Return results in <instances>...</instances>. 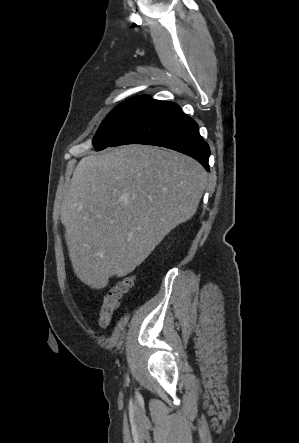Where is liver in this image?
<instances>
[{
    "mask_svg": "<svg viewBox=\"0 0 299 443\" xmlns=\"http://www.w3.org/2000/svg\"><path fill=\"white\" fill-rule=\"evenodd\" d=\"M206 183L204 167L173 150L127 145L82 158L61 205L77 278L102 289L131 273L192 218Z\"/></svg>",
    "mask_w": 299,
    "mask_h": 443,
    "instance_id": "1",
    "label": "liver"
}]
</instances>
